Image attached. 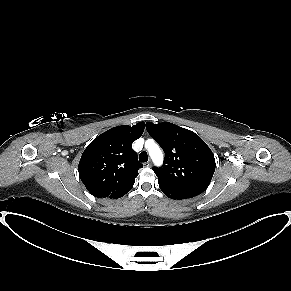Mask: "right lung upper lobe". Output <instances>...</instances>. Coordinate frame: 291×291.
Instances as JSON below:
<instances>
[{"label":"right lung upper lobe","mask_w":291,"mask_h":291,"mask_svg":"<svg viewBox=\"0 0 291 291\" xmlns=\"http://www.w3.org/2000/svg\"><path fill=\"white\" fill-rule=\"evenodd\" d=\"M144 122L117 126L96 137L84 150L78 167L81 181L95 197L117 199L129 192L138 175L132 143L141 137Z\"/></svg>","instance_id":"right-lung-upper-lobe-1"}]
</instances>
